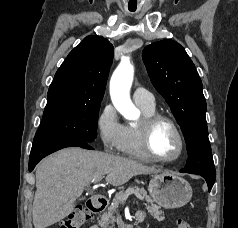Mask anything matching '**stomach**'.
<instances>
[{"mask_svg":"<svg viewBox=\"0 0 238 228\" xmlns=\"http://www.w3.org/2000/svg\"><path fill=\"white\" fill-rule=\"evenodd\" d=\"M148 190L153 200L166 209L180 208L192 198V187L188 181L171 172L155 174Z\"/></svg>","mask_w":238,"mask_h":228,"instance_id":"obj_1","label":"stomach"}]
</instances>
